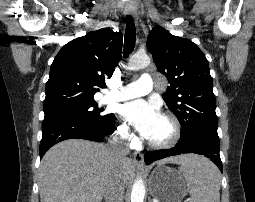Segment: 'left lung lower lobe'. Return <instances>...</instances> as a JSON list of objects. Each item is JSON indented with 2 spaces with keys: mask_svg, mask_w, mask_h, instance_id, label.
Instances as JSON below:
<instances>
[{
  "mask_svg": "<svg viewBox=\"0 0 255 202\" xmlns=\"http://www.w3.org/2000/svg\"><path fill=\"white\" fill-rule=\"evenodd\" d=\"M219 149V138L200 137L186 141L180 140L179 143L171 149L146 152L144 159L146 164H150L155 160L178 155L181 153H196L209 158L218 166L220 171H222V162L219 155Z\"/></svg>",
  "mask_w": 255,
  "mask_h": 202,
  "instance_id": "0a47b994",
  "label": "left lung lower lobe"
}]
</instances>
